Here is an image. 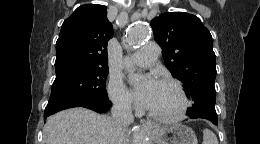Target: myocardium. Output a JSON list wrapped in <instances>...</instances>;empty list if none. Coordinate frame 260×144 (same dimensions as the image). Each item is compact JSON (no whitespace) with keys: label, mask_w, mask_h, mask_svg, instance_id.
<instances>
[{"label":"myocardium","mask_w":260,"mask_h":144,"mask_svg":"<svg viewBox=\"0 0 260 144\" xmlns=\"http://www.w3.org/2000/svg\"><path fill=\"white\" fill-rule=\"evenodd\" d=\"M159 82L172 86L178 93L182 104L180 109L174 114H161L148 108L147 111L149 116L162 122H177L182 120L186 116L190 107V101L184 87L178 80L173 78H163Z\"/></svg>","instance_id":"1"}]
</instances>
